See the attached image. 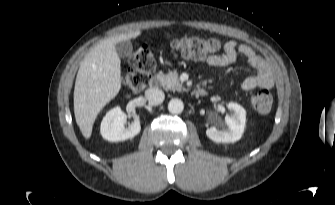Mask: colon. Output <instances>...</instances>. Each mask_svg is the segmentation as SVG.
Here are the masks:
<instances>
[{
    "label": "colon",
    "mask_w": 335,
    "mask_h": 205,
    "mask_svg": "<svg viewBox=\"0 0 335 205\" xmlns=\"http://www.w3.org/2000/svg\"><path fill=\"white\" fill-rule=\"evenodd\" d=\"M219 44L213 39L190 37L183 42V51L194 58H206L217 51ZM155 67V58L148 45L140 46L129 59V69L125 76L127 86L134 92L144 89ZM255 105L266 110L271 105V96L267 91L259 92L255 99Z\"/></svg>",
    "instance_id": "obj_1"
}]
</instances>
